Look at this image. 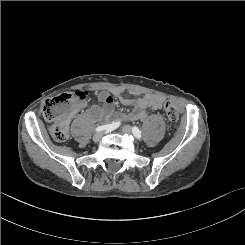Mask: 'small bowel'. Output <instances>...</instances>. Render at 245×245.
<instances>
[{"mask_svg":"<svg viewBox=\"0 0 245 245\" xmlns=\"http://www.w3.org/2000/svg\"><path fill=\"white\" fill-rule=\"evenodd\" d=\"M120 102L123 106H132L133 109L125 118L127 120L147 119V110H159L162 108L164 98L156 94H145L138 98L120 97ZM114 110L113 96L102 91L98 94V104L92 106L89 110V115L94 120H102L108 118Z\"/></svg>","mask_w":245,"mask_h":245,"instance_id":"1","label":"small bowel"}]
</instances>
